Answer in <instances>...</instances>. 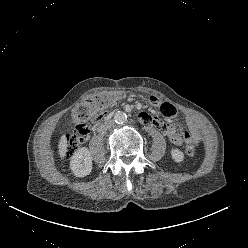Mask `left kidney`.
I'll list each match as a JSON object with an SVG mask.
<instances>
[{"instance_id":"1","label":"left kidney","mask_w":248,"mask_h":248,"mask_svg":"<svg viewBox=\"0 0 248 248\" xmlns=\"http://www.w3.org/2000/svg\"><path fill=\"white\" fill-rule=\"evenodd\" d=\"M171 156H172V159L175 161V162H182L184 160V154L181 150H179L178 148H173L171 150Z\"/></svg>"}]
</instances>
